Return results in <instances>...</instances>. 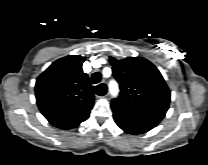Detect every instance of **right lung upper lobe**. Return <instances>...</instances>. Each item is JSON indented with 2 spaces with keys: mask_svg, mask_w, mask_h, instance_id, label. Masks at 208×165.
Returning a JSON list of instances; mask_svg holds the SVG:
<instances>
[{
  "mask_svg": "<svg viewBox=\"0 0 208 165\" xmlns=\"http://www.w3.org/2000/svg\"><path fill=\"white\" fill-rule=\"evenodd\" d=\"M85 57L66 56L52 63L36 80V102L48 122L70 130L88 119L94 95L88 75L83 72Z\"/></svg>",
  "mask_w": 208,
  "mask_h": 165,
  "instance_id": "obj_1",
  "label": "right lung upper lobe"
}]
</instances>
